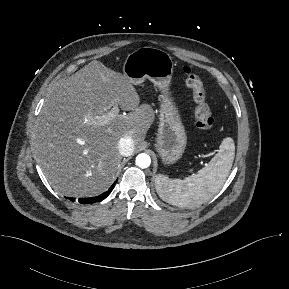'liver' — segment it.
<instances>
[{
	"instance_id": "6515ba94",
	"label": "liver",
	"mask_w": 289,
	"mask_h": 289,
	"mask_svg": "<svg viewBox=\"0 0 289 289\" xmlns=\"http://www.w3.org/2000/svg\"><path fill=\"white\" fill-rule=\"evenodd\" d=\"M113 106L130 113L118 114L107 124L93 123ZM153 120L152 108L140 104L132 82L94 60L45 99L33 136L36 157L58 193L95 196L115 179L122 160L121 137L130 136L138 147Z\"/></svg>"
}]
</instances>
